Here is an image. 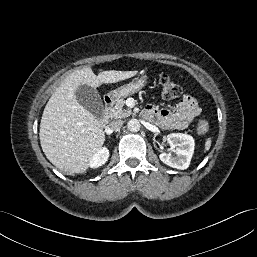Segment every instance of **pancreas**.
<instances>
[{
    "mask_svg": "<svg viewBox=\"0 0 257 257\" xmlns=\"http://www.w3.org/2000/svg\"><path fill=\"white\" fill-rule=\"evenodd\" d=\"M125 100L119 99L116 105L110 109L109 115L111 118L119 119L125 118L132 114L130 109H124Z\"/></svg>",
    "mask_w": 257,
    "mask_h": 257,
    "instance_id": "pancreas-1",
    "label": "pancreas"
}]
</instances>
